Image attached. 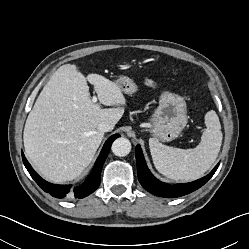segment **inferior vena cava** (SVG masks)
Segmentation results:
<instances>
[{
  "mask_svg": "<svg viewBox=\"0 0 249 249\" xmlns=\"http://www.w3.org/2000/svg\"><path fill=\"white\" fill-rule=\"evenodd\" d=\"M112 129H113L112 125L105 121L101 122L98 125V130L101 132H108V131H111Z\"/></svg>",
  "mask_w": 249,
  "mask_h": 249,
  "instance_id": "1",
  "label": "inferior vena cava"
}]
</instances>
